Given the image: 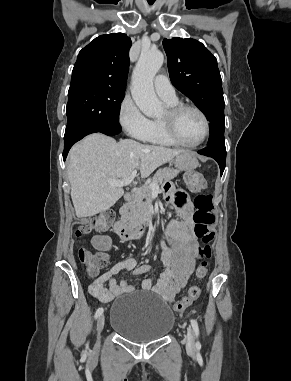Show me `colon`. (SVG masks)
I'll list each match as a JSON object with an SVG mask.
<instances>
[{
    "label": "colon",
    "mask_w": 291,
    "mask_h": 381,
    "mask_svg": "<svg viewBox=\"0 0 291 381\" xmlns=\"http://www.w3.org/2000/svg\"><path fill=\"white\" fill-rule=\"evenodd\" d=\"M184 181L190 190L198 192V195L194 200L196 208V211L193 214L194 233L202 240L203 246L199 250L201 261L197 266L196 276L203 278L208 273L209 259L211 257L210 244L215 235L213 230L215 216L213 214L212 196L202 192L206 187V182L202 175L195 172L189 173L185 175ZM177 202L183 203V198H179ZM113 220L114 214L112 211L106 210L100 212L82 222L76 228L75 234L78 238H82L84 235L91 232H105L109 229ZM78 255L90 276H96L108 262V257L104 253H92L82 246L78 250ZM199 295L200 288L198 286L190 287L187 294L174 303V310L179 313L185 311L195 300H197Z\"/></svg>",
    "instance_id": "5ec220e1"
}]
</instances>
